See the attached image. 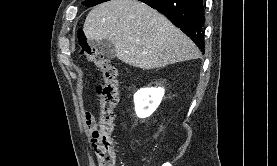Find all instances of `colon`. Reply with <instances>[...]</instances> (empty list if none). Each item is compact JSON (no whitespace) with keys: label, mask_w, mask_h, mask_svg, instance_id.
<instances>
[{"label":"colon","mask_w":277,"mask_h":166,"mask_svg":"<svg viewBox=\"0 0 277 166\" xmlns=\"http://www.w3.org/2000/svg\"><path fill=\"white\" fill-rule=\"evenodd\" d=\"M77 40L80 46V54L94 63L103 77V82L96 89L100 102L99 118L89 125L98 165L117 166V152L113 133L115 129L114 109L119 99V69L87 40L82 30L78 31Z\"/></svg>","instance_id":"obj_1"}]
</instances>
